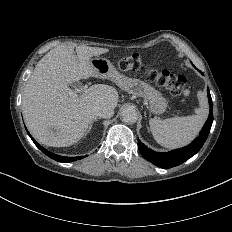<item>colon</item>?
Returning a JSON list of instances; mask_svg holds the SVG:
<instances>
[{
  "instance_id": "colon-1",
  "label": "colon",
  "mask_w": 232,
  "mask_h": 232,
  "mask_svg": "<svg viewBox=\"0 0 232 232\" xmlns=\"http://www.w3.org/2000/svg\"><path fill=\"white\" fill-rule=\"evenodd\" d=\"M139 64L140 59L136 55L118 56L115 60L116 67L126 70V73H143L144 67L139 66ZM149 77L158 83L164 91H171L183 97H189L193 93L190 81H185L184 77L179 74H167L161 66H151Z\"/></svg>"
}]
</instances>
